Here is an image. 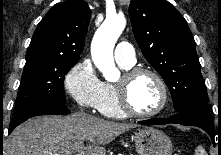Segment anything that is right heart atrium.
<instances>
[{
	"instance_id": "right-heart-atrium-1",
	"label": "right heart atrium",
	"mask_w": 221,
	"mask_h": 155,
	"mask_svg": "<svg viewBox=\"0 0 221 155\" xmlns=\"http://www.w3.org/2000/svg\"><path fill=\"white\" fill-rule=\"evenodd\" d=\"M102 84L89 59L76 63L64 77L68 95L86 109H97L102 96Z\"/></svg>"
}]
</instances>
